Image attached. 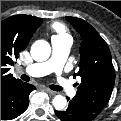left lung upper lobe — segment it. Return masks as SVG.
Segmentation results:
<instances>
[{"instance_id":"obj_1","label":"left lung upper lobe","mask_w":121,"mask_h":121,"mask_svg":"<svg viewBox=\"0 0 121 121\" xmlns=\"http://www.w3.org/2000/svg\"><path fill=\"white\" fill-rule=\"evenodd\" d=\"M66 19L82 38L79 71L73 75L74 78L79 76L81 83L71 101L92 113L99 114L108 103L115 83L110 50L89 23L76 17Z\"/></svg>"}]
</instances>
